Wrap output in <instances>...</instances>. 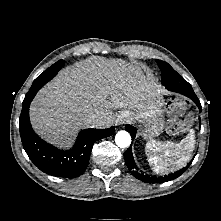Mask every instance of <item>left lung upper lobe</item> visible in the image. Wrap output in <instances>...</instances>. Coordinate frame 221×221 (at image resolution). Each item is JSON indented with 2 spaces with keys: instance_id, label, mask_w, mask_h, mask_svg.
<instances>
[{
  "instance_id": "obj_1",
  "label": "left lung upper lobe",
  "mask_w": 221,
  "mask_h": 221,
  "mask_svg": "<svg viewBox=\"0 0 221 221\" xmlns=\"http://www.w3.org/2000/svg\"><path fill=\"white\" fill-rule=\"evenodd\" d=\"M158 66L162 72V83L164 85L173 84L182 77L167 63L161 60H156Z\"/></svg>"
}]
</instances>
